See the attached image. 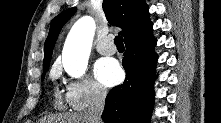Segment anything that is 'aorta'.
<instances>
[{
    "mask_svg": "<svg viewBox=\"0 0 221 123\" xmlns=\"http://www.w3.org/2000/svg\"><path fill=\"white\" fill-rule=\"evenodd\" d=\"M94 34L95 21L90 16L80 18L71 28L62 53V64L69 75L79 78L85 73Z\"/></svg>",
    "mask_w": 221,
    "mask_h": 123,
    "instance_id": "obj_1",
    "label": "aorta"
}]
</instances>
